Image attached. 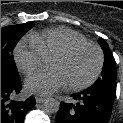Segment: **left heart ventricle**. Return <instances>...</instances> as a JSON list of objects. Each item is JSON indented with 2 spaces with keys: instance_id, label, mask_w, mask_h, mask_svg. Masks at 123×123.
Returning a JSON list of instances; mask_svg holds the SVG:
<instances>
[{
  "instance_id": "left-heart-ventricle-1",
  "label": "left heart ventricle",
  "mask_w": 123,
  "mask_h": 123,
  "mask_svg": "<svg viewBox=\"0 0 123 123\" xmlns=\"http://www.w3.org/2000/svg\"><path fill=\"white\" fill-rule=\"evenodd\" d=\"M98 63L97 52L91 47H85L67 58L52 57L49 66L59 70L67 85L78 84L89 79Z\"/></svg>"
}]
</instances>
